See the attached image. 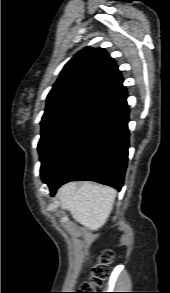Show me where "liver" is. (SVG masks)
<instances>
[{
  "mask_svg": "<svg viewBox=\"0 0 170 293\" xmlns=\"http://www.w3.org/2000/svg\"><path fill=\"white\" fill-rule=\"evenodd\" d=\"M116 190L92 182L63 185L57 193L61 207L90 230L97 231L107 221L115 202Z\"/></svg>",
  "mask_w": 170,
  "mask_h": 293,
  "instance_id": "6515ba94",
  "label": "liver"
}]
</instances>
